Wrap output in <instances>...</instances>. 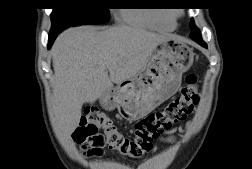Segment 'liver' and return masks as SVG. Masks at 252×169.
<instances>
[{
  "mask_svg": "<svg viewBox=\"0 0 252 169\" xmlns=\"http://www.w3.org/2000/svg\"><path fill=\"white\" fill-rule=\"evenodd\" d=\"M168 33L125 25L99 31L93 26L62 32L52 49L53 92L58 105L56 126L64 138L78 127L84 103H93L135 77Z\"/></svg>",
  "mask_w": 252,
  "mask_h": 169,
  "instance_id": "6515ba94",
  "label": "liver"
}]
</instances>
